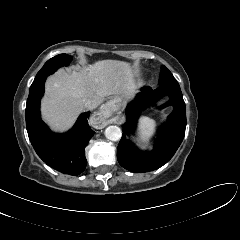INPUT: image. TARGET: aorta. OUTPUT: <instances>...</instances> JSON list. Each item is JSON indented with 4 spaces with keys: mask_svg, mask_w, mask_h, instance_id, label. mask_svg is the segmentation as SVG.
Listing matches in <instances>:
<instances>
[{
    "mask_svg": "<svg viewBox=\"0 0 240 240\" xmlns=\"http://www.w3.org/2000/svg\"><path fill=\"white\" fill-rule=\"evenodd\" d=\"M121 135H122V132L118 126H108L105 130V137L111 141L120 140Z\"/></svg>",
    "mask_w": 240,
    "mask_h": 240,
    "instance_id": "obj_1",
    "label": "aorta"
}]
</instances>
